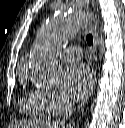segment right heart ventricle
<instances>
[{"instance_id": "1", "label": "right heart ventricle", "mask_w": 125, "mask_h": 128, "mask_svg": "<svg viewBox=\"0 0 125 128\" xmlns=\"http://www.w3.org/2000/svg\"><path fill=\"white\" fill-rule=\"evenodd\" d=\"M20 107L25 115L36 118H45L50 114L35 91L29 92L22 97Z\"/></svg>"}]
</instances>
